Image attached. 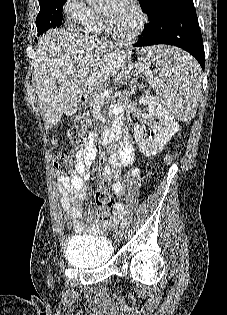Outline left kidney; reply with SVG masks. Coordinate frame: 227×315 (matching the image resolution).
Listing matches in <instances>:
<instances>
[{
	"instance_id": "left-kidney-1",
	"label": "left kidney",
	"mask_w": 227,
	"mask_h": 315,
	"mask_svg": "<svg viewBox=\"0 0 227 315\" xmlns=\"http://www.w3.org/2000/svg\"><path fill=\"white\" fill-rule=\"evenodd\" d=\"M139 104L148 105V117L153 121L156 132L153 137L148 136L146 127L138 125L134 129V137L144 155L154 156L161 152L172 136L179 131L180 125L156 97L145 95L139 99ZM155 119H158V122L154 121Z\"/></svg>"
}]
</instances>
